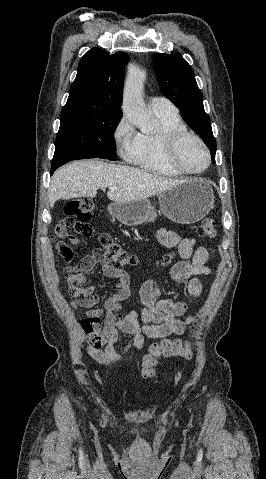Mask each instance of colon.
Segmentation results:
<instances>
[{"label":"colon","instance_id":"obj_1","mask_svg":"<svg viewBox=\"0 0 266 479\" xmlns=\"http://www.w3.org/2000/svg\"><path fill=\"white\" fill-rule=\"evenodd\" d=\"M95 207V199L91 196H84L71 199L64 206V217L55 228L57 236H64L68 230L74 229L78 234L88 237H95L102 249L106 261L116 269H122L134 262V258L124 249L109 233H98L90 224L92 211ZM199 234L208 239L217 236L216 222L212 217L205 218L199 226ZM57 252L66 261H71L74 251L70 245L63 241L57 243ZM171 256H165L164 264H169ZM70 295L86 297L89 304L94 305L100 300V295L94 292L92 286H78L77 278H74ZM162 356H175L190 359L192 357L191 347L187 342L179 339H162L152 343L147 353L142 357L141 376L152 381L154 378V366Z\"/></svg>","mask_w":266,"mask_h":479}]
</instances>
